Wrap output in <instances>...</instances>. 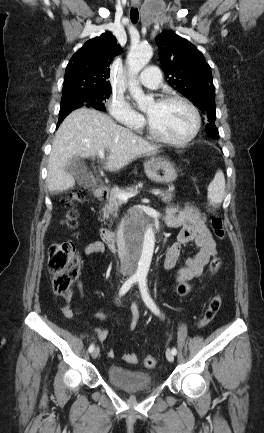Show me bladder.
Masks as SVG:
<instances>
[{"mask_svg": "<svg viewBox=\"0 0 264 433\" xmlns=\"http://www.w3.org/2000/svg\"><path fill=\"white\" fill-rule=\"evenodd\" d=\"M106 374L112 385L126 391L146 392L154 387L152 375L140 370L111 365L108 367Z\"/></svg>", "mask_w": 264, "mask_h": 433, "instance_id": "31cf9c89", "label": "bladder"}]
</instances>
